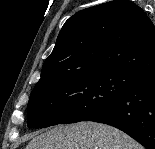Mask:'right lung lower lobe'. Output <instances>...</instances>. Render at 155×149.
Listing matches in <instances>:
<instances>
[{"label":"right lung lower lobe","instance_id":"1","mask_svg":"<svg viewBox=\"0 0 155 149\" xmlns=\"http://www.w3.org/2000/svg\"><path fill=\"white\" fill-rule=\"evenodd\" d=\"M90 121L114 126L146 149H155V72L143 75L124 95Z\"/></svg>","mask_w":155,"mask_h":149}]
</instances>
